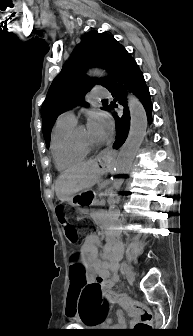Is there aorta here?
I'll use <instances>...</instances> for the list:
<instances>
[{
	"mask_svg": "<svg viewBox=\"0 0 193 336\" xmlns=\"http://www.w3.org/2000/svg\"><path fill=\"white\" fill-rule=\"evenodd\" d=\"M92 74H99V72L93 71ZM128 106L130 111V130L114 166V174L117 176L113 180L115 190H118L123 183L121 175H125L130 171L147 129V115L140 100L129 94Z\"/></svg>",
	"mask_w": 193,
	"mask_h": 336,
	"instance_id": "aorta-1",
	"label": "aorta"
}]
</instances>
